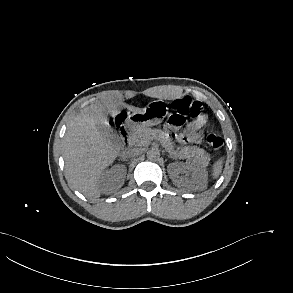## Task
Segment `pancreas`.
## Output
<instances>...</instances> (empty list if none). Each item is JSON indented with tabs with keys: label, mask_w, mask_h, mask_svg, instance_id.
I'll use <instances>...</instances> for the list:
<instances>
[{
	"label": "pancreas",
	"mask_w": 293,
	"mask_h": 293,
	"mask_svg": "<svg viewBox=\"0 0 293 293\" xmlns=\"http://www.w3.org/2000/svg\"><path fill=\"white\" fill-rule=\"evenodd\" d=\"M161 137L162 144L169 152L170 156L177 159L191 158L201 162H208L209 156L202 149L197 146H186L183 148L174 149V145L163 139L162 133L147 127H139L134 129L130 136V142L134 146H147L154 137Z\"/></svg>",
	"instance_id": "cf45deb5"
}]
</instances>
